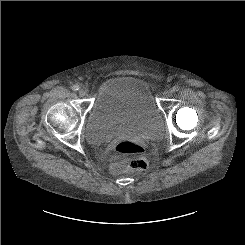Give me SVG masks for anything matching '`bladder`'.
Wrapping results in <instances>:
<instances>
[{"label": "bladder", "mask_w": 245, "mask_h": 245, "mask_svg": "<svg viewBox=\"0 0 245 245\" xmlns=\"http://www.w3.org/2000/svg\"><path fill=\"white\" fill-rule=\"evenodd\" d=\"M162 126L161 111L147 81L134 74H120L98 90L84 132L89 142L104 143L123 135L154 138Z\"/></svg>", "instance_id": "1"}]
</instances>
